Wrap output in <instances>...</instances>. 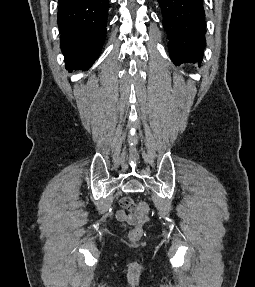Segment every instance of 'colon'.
Instances as JSON below:
<instances>
[{
  "instance_id": "5ec220e1",
  "label": "colon",
  "mask_w": 255,
  "mask_h": 287,
  "mask_svg": "<svg viewBox=\"0 0 255 287\" xmlns=\"http://www.w3.org/2000/svg\"><path fill=\"white\" fill-rule=\"evenodd\" d=\"M138 212H139V217L141 221L137 223L134 228L129 232V239L131 241H138L142 235H143V224H144V219L147 218L148 212H149V206L145 202H140L138 204Z\"/></svg>"
}]
</instances>
